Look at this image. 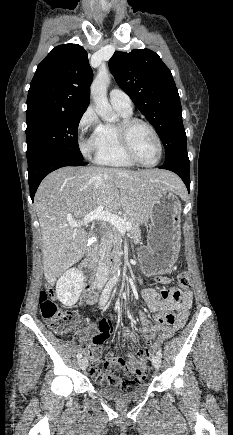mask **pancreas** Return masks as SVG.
<instances>
[{"mask_svg":"<svg viewBox=\"0 0 233 435\" xmlns=\"http://www.w3.org/2000/svg\"><path fill=\"white\" fill-rule=\"evenodd\" d=\"M124 220L127 222L130 221L132 223V227L130 229L132 238L134 240H139L141 232H140V228H139V222L136 220V218H134L132 216L125 215ZM107 236H108V239H107V243H106V247H105L104 252H105V257L108 260L110 258L111 249H113V251H112L113 256L120 255L122 238H121V234H120L119 230L116 227L110 228Z\"/></svg>","mask_w":233,"mask_h":435,"instance_id":"1","label":"pancreas"}]
</instances>
